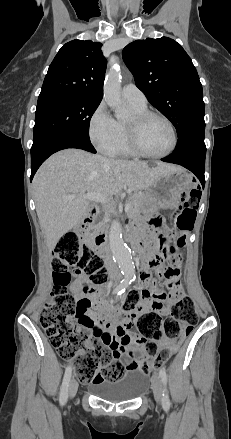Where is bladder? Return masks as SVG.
I'll return each mask as SVG.
<instances>
[{
  "mask_svg": "<svg viewBox=\"0 0 231 439\" xmlns=\"http://www.w3.org/2000/svg\"><path fill=\"white\" fill-rule=\"evenodd\" d=\"M149 383L150 378L146 372L139 368H131L125 371L120 380L94 384L90 387V391L107 401L124 402L138 398L147 389Z\"/></svg>",
  "mask_w": 231,
  "mask_h": 439,
  "instance_id": "31cf9c89",
  "label": "bladder"
}]
</instances>
